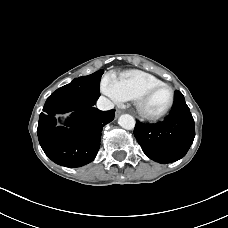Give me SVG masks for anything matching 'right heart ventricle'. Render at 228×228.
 Returning <instances> with one entry per match:
<instances>
[{
  "label": "right heart ventricle",
  "mask_w": 228,
  "mask_h": 228,
  "mask_svg": "<svg viewBox=\"0 0 228 228\" xmlns=\"http://www.w3.org/2000/svg\"><path fill=\"white\" fill-rule=\"evenodd\" d=\"M157 83H162V81L150 73L129 70L120 74L116 80V89L124 101L136 100L144 89Z\"/></svg>",
  "instance_id": "e07e8e85"
}]
</instances>
